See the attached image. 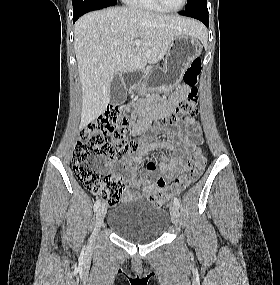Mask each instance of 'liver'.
Wrapping results in <instances>:
<instances>
[{
	"label": "liver",
	"mask_w": 280,
	"mask_h": 285,
	"mask_svg": "<svg viewBox=\"0 0 280 285\" xmlns=\"http://www.w3.org/2000/svg\"><path fill=\"white\" fill-rule=\"evenodd\" d=\"M196 20L133 7H113L83 15L75 24L74 49L82 89L80 128L101 115L110 102L117 73L157 63L179 35L202 37ZM140 40L139 48H134Z\"/></svg>",
	"instance_id": "obj_1"
}]
</instances>
